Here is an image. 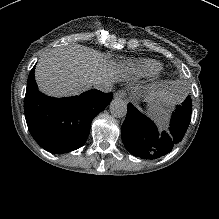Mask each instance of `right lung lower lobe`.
<instances>
[{
	"label": "right lung lower lobe",
	"mask_w": 219,
	"mask_h": 219,
	"mask_svg": "<svg viewBox=\"0 0 219 219\" xmlns=\"http://www.w3.org/2000/svg\"><path fill=\"white\" fill-rule=\"evenodd\" d=\"M33 68L24 101L29 131L36 142L52 153H65L82 146L93 118L112 100V93L90 90L79 96L52 98L38 91Z\"/></svg>",
	"instance_id": "1"
}]
</instances>
